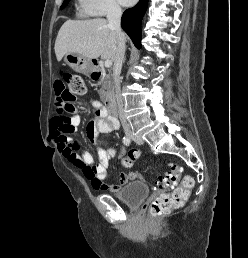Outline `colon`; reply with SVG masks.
<instances>
[{
	"label": "colon",
	"instance_id": "colon-1",
	"mask_svg": "<svg viewBox=\"0 0 248 258\" xmlns=\"http://www.w3.org/2000/svg\"><path fill=\"white\" fill-rule=\"evenodd\" d=\"M68 87V94L63 95L57 103H55L56 114L52 119V125L62 133H68L73 130L71 125L70 114L73 112V106L70 102L77 95H83L86 91L84 80L78 75H69L65 79ZM124 148L123 146L121 147ZM141 153L137 150L130 151L127 155L121 150L120 157L122 164L129 169L136 160L140 157ZM94 174L93 170L85 169L84 175L90 177ZM180 179V167L177 164H169V168L164 177L158 181V188L161 190L173 189ZM193 178L186 176L183 178L179 187L174 189L171 194H160L150 204L149 210L153 216H161L167 214L170 210L178 208L184 204V202L190 196L193 188Z\"/></svg>",
	"mask_w": 248,
	"mask_h": 258
}]
</instances>
